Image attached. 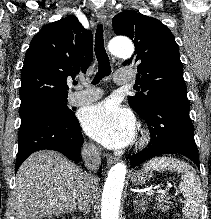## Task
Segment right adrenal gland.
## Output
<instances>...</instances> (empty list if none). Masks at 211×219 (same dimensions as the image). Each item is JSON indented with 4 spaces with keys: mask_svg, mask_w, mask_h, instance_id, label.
<instances>
[{
    "mask_svg": "<svg viewBox=\"0 0 211 219\" xmlns=\"http://www.w3.org/2000/svg\"><path fill=\"white\" fill-rule=\"evenodd\" d=\"M72 219H80V217L73 216Z\"/></svg>",
    "mask_w": 211,
    "mask_h": 219,
    "instance_id": "1",
    "label": "right adrenal gland"
}]
</instances>
